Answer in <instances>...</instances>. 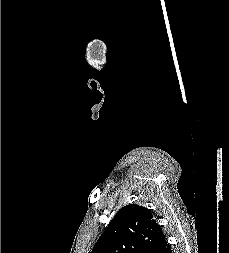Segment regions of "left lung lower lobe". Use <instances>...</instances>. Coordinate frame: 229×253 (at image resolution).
Segmentation results:
<instances>
[{"mask_svg":"<svg viewBox=\"0 0 229 253\" xmlns=\"http://www.w3.org/2000/svg\"><path fill=\"white\" fill-rule=\"evenodd\" d=\"M155 253H172L171 246L166 238L159 244Z\"/></svg>","mask_w":229,"mask_h":253,"instance_id":"1","label":"left lung lower lobe"}]
</instances>
